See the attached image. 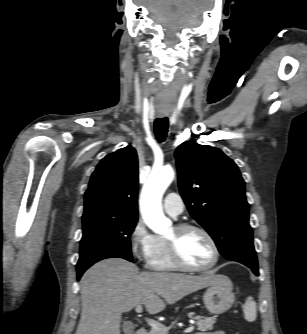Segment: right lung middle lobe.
I'll return each mask as SVG.
<instances>
[{
    "instance_id": "right-lung-middle-lobe-1",
    "label": "right lung middle lobe",
    "mask_w": 307,
    "mask_h": 334,
    "mask_svg": "<svg viewBox=\"0 0 307 334\" xmlns=\"http://www.w3.org/2000/svg\"><path fill=\"white\" fill-rule=\"evenodd\" d=\"M83 219V237L77 272H84L94 263L113 257L132 261L130 235L137 219L92 216Z\"/></svg>"
}]
</instances>
